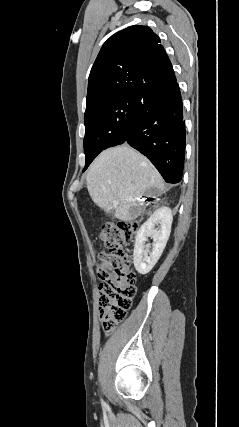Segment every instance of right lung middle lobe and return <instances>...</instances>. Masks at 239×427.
I'll return each instance as SVG.
<instances>
[{"label":"right lung middle lobe","instance_id":"1","mask_svg":"<svg viewBox=\"0 0 239 427\" xmlns=\"http://www.w3.org/2000/svg\"><path fill=\"white\" fill-rule=\"evenodd\" d=\"M138 101L139 96H122L86 107L83 142L86 163L83 171L101 151L124 142Z\"/></svg>","mask_w":239,"mask_h":427}]
</instances>
